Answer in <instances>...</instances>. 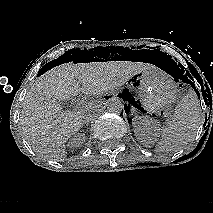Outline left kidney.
<instances>
[{"instance_id":"left-kidney-1","label":"left kidney","mask_w":213,"mask_h":213,"mask_svg":"<svg viewBox=\"0 0 213 213\" xmlns=\"http://www.w3.org/2000/svg\"><path fill=\"white\" fill-rule=\"evenodd\" d=\"M135 133L143 144L153 143L159 131L155 120L149 117H135L133 120Z\"/></svg>"}]
</instances>
